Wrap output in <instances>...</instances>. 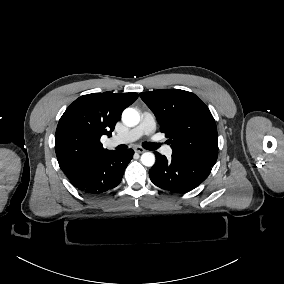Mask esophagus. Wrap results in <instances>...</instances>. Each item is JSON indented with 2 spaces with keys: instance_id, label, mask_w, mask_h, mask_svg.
I'll use <instances>...</instances> for the list:
<instances>
[{
  "instance_id": "esophagus-1",
  "label": "esophagus",
  "mask_w": 284,
  "mask_h": 284,
  "mask_svg": "<svg viewBox=\"0 0 284 284\" xmlns=\"http://www.w3.org/2000/svg\"><path fill=\"white\" fill-rule=\"evenodd\" d=\"M133 150L135 151V152H137V153H143V152H145V149L144 148H142L141 146H134L133 147Z\"/></svg>"
}]
</instances>
